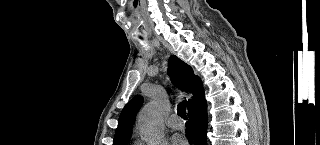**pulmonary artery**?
<instances>
[{
  "label": "pulmonary artery",
  "instance_id": "obj_1",
  "mask_svg": "<svg viewBox=\"0 0 320 145\" xmlns=\"http://www.w3.org/2000/svg\"><path fill=\"white\" fill-rule=\"evenodd\" d=\"M167 126L172 129H179L182 126V122L178 116L171 115L167 120Z\"/></svg>",
  "mask_w": 320,
  "mask_h": 145
}]
</instances>
